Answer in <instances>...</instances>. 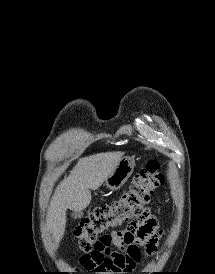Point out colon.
I'll list each match as a JSON object with an SVG mask.
<instances>
[{
  "label": "colon",
  "instance_id": "obj_1",
  "mask_svg": "<svg viewBox=\"0 0 215 274\" xmlns=\"http://www.w3.org/2000/svg\"><path fill=\"white\" fill-rule=\"evenodd\" d=\"M159 168L158 161L149 160L118 200L95 208L80 221L75 227L74 236L83 252L91 251L107 231L143 215L144 206L153 191L164 183L165 178Z\"/></svg>",
  "mask_w": 215,
  "mask_h": 274
}]
</instances>
